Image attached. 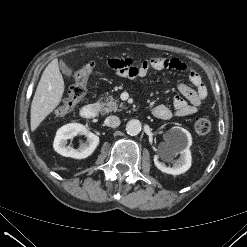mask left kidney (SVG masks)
<instances>
[{
  "instance_id": "obj_1",
  "label": "left kidney",
  "mask_w": 247,
  "mask_h": 247,
  "mask_svg": "<svg viewBox=\"0 0 247 247\" xmlns=\"http://www.w3.org/2000/svg\"><path fill=\"white\" fill-rule=\"evenodd\" d=\"M177 134L178 137L183 140L185 146L180 147L167 145L166 150L170 156L180 154V158L174 162L173 167H167L165 163L159 162L157 155L154 156L155 166L160 171L171 175H179L185 173L191 167L192 157L189 149L192 144L191 134L183 128L177 129Z\"/></svg>"
}]
</instances>
